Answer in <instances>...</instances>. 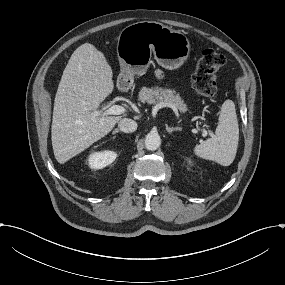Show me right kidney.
<instances>
[{
  "mask_svg": "<svg viewBox=\"0 0 285 285\" xmlns=\"http://www.w3.org/2000/svg\"><path fill=\"white\" fill-rule=\"evenodd\" d=\"M117 157L114 151H101L91 153L88 157V164L91 169H102L115 161Z\"/></svg>",
  "mask_w": 285,
  "mask_h": 285,
  "instance_id": "1",
  "label": "right kidney"
}]
</instances>
